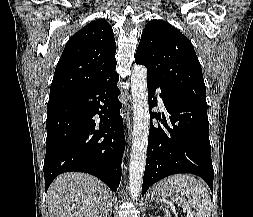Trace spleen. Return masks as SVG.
Masks as SVG:
<instances>
[{
  "label": "spleen",
  "mask_w": 253,
  "mask_h": 217,
  "mask_svg": "<svg viewBox=\"0 0 253 217\" xmlns=\"http://www.w3.org/2000/svg\"><path fill=\"white\" fill-rule=\"evenodd\" d=\"M171 185L178 189V192L185 194L191 192L192 198L188 200V206L195 209L196 217H211V198L205 186L194 176L187 174H176L168 178ZM185 205V200L180 199Z\"/></svg>",
  "instance_id": "obj_1"
}]
</instances>
